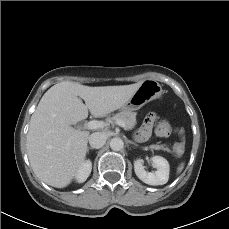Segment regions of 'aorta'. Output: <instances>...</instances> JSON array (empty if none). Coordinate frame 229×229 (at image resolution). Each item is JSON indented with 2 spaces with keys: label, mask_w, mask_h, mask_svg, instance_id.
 I'll return each instance as SVG.
<instances>
[{
  "label": "aorta",
  "mask_w": 229,
  "mask_h": 229,
  "mask_svg": "<svg viewBox=\"0 0 229 229\" xmlns=\"http://www.w3.org/2000/svg\"><path fill=\"white\" fill-rule=\"evenodd\" d=\"M110 147L114 151H120L124 147V142L121 138L115 137L110 141Z\"/></svg>",
  "instance_id": "aorta-1"
}]
</instances>
